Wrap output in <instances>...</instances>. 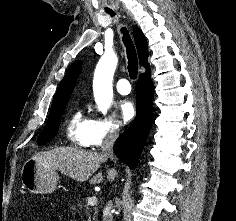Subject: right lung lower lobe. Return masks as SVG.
<instances>
[{
    "label": "right lung lower lobe",
    "mask_w": 236,
    "mask_h": 221,
    "mask_svg": "<svg viewBox=\"0 0 236 221\" xmlns=\"http://www.w3.org/2000/svg\"><path fill=\"white\" fill-rule=\"evenodd\" d=\"M137 117L115 142L114 152L131 169L137 165L153 118L154 88L150 70L140 74L136 84Z\"/></svg>",
    "instance_id": "98d812e1"
}]
</instances>
